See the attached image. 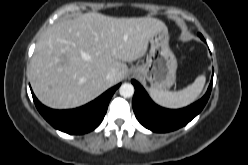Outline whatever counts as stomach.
<instances>
[{"label":"stomach","instance_id":"0dacf381","mask_svg":"<svg viewBox=\"0 0 248 165\" xmlns=\"http://www.w3.org/2000/svg\"><path fill=\"white\" fill-rule=\"evenodd\" d=\"M149 42L150 51L146 62L136 66L133 72L148 80L158 90L171 87L176 80L177 60L169 47L168 31L155 33Z\"/></svg>","mask_w":248,"mask_h":165}]
</instances>
